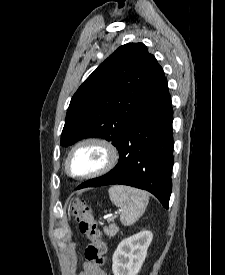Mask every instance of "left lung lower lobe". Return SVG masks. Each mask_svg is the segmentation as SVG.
Instances as JSON below:
<instances>
[{"mask_svg":"<svg viewBox=\"0 0 225 275\" xmlns=\"http://www.w3.org/2000/svg\"><path fill=\"white\" fill-rule=\"evenodd\" d=\"M173 110L166 83L124 133L117 149L118 164L106 175L77 189L123 184L147 190L168 208L172 190Z\"/></svg>","mask_w":225,"mask_h":275,"instance_id":"left-lung-lower-lobe-1","label":"left lung lower lobe"}]
</instances>
